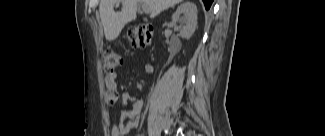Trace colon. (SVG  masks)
<instances>
[{"label": "colon", "mask_w": 325, "mask_h": 136, "mask_svg": "<svg viewBox=\"0 0 325 136\" xmlns=\"http://www.w3.org/2000/svg\"><path fill=\"white\" fill-rule=\"evenodd\" d=\"M153 33L152 26L142 25L128 30L126 38L134 47L149 44ZM122 64L121 56L113 49L104 52L103 69L106 73H113Z\"/></svg>", "instance_id": "colon-1"}]
</instances>
